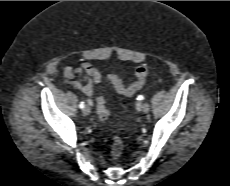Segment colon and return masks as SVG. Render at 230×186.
Wrapping results in <instances>:
<instances>
[{"mask_svg": "<svg viewBox=\"0 0 230 186\" xmlns=\"http://www.w3.org/2000/svg\"><path fill=\"white\" fill-rule=\"evenodd\" d=\"M148 67L146 65H140L136 67L135 69V81L128 87V89L123 90L119 89L117 91V100L124 106L126 107L128 105L127 97L130 94L136 93L138 90L141 89L143 86L146 77L148 75ZM109 80L114 86H120V78L117 75H110ZM97 113L100 119L105 120L109 118L111 112L109 107L107 106V103L105 99L100 98L97 100ZM123 137L121 135V132L118 131L116 135L114 136L112 146H111V151L110 154L113 158H116L120 156L122 150H123Z\"/></svg>", "mask_w": 230, "mask_h": 186, "instance_id": "5ec220e1", "label": "colon"}]
</instances>
